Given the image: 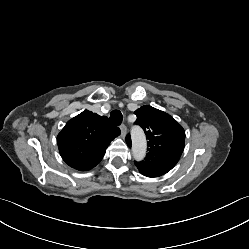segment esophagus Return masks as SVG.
I'll list each match as a JSON object with an SVG mask.
<instances>
[{
    "label": "esophagus",
    "mask_w": 249,
    "mask_h": 249,
    "mask_svg": "<svg viewBox=\"0 0 249 249\" xmlns=\"http://www.w3.org/2000/svg\"><path fill=\"white\" fill-rule=\"evenodd\" d=\"M120 130H121V136H122V138H125L126 131H127L126 126L124 124L120 125Z\"/></svg>",
    "instance_id": "obj_1"
}]
</instances>
